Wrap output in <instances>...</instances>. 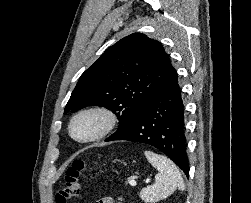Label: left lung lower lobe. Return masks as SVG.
I'll list each match as a JSON object with an SVG mask.
<instances>
[{
	"mask_svg": "<svg viewBox=\"0 0 251 203\" xmlns=\"http://www.w3.org/2000/svg\"><path fill=\"white\" fill-rule=\"evenodd\" d=\"M184 113L178 75L171 65L131 124L105 141L128 140L154 146L174 161L188 177Z\"/></svg>",
	"mask_w": 251,
	"mask_h": 203,
	"instance_id": "1",
	"label": "left lung lower lobe"
}]
</instances>
